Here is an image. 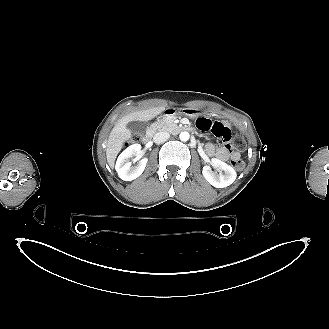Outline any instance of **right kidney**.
Listing matches in <instances>:
<instances>
[{"instance_id": "ca27d5eb", "label": "right kidney", "mask_w": 329, "mask_h": 329, "mask_svg": "<svg viewBox=\"0 0 329 329\" xmlns=\"http://www.w3.org/2000/svg\"><path fill=\"white\" fill-rule=\"evenodd\" d=\"M141 150L140 144H133L126 148L118 157L115 169L118 176L124 181H132L139 177L147 164V158L141 159L137 165L133 166L129 159L135 155L139 154Z\"/></svg>"}]
</instances>
